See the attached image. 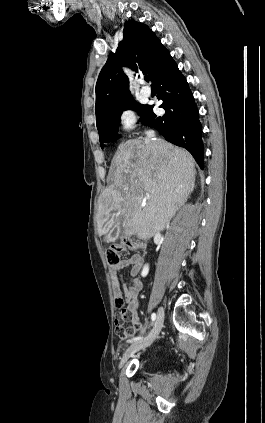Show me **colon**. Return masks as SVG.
Listing matches in <instances>:
<instances>
[{"mask_svg":"<svg viewBox=\"0 0 265 423\" xmlns=\"http://www.w3.org/2000/svg\"><path fill=\"white\" fill-rule=\"evenodd\" d=\"M127 248L138 249L139 245L135 241L127 238L113 242L105 252L107 264L111 266L117 265L120 262L121 253ZM116 306L120 309V314L115 320L116 333L118 336L124 337L132 329V326L125 327V324L131 319V314L125 310L121 296L116 297Z\"/></svg>","mask_w":265,"mask_h":423,"instance_id":"colon-1","label":"colon"}]
</instances>
